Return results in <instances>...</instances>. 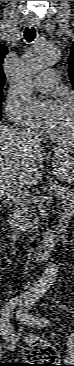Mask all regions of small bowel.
Segmentation results:
<instances>
[{"label": "small bowel", "mask_w": 74, "mask_h": 366, "mask_svg": "<svg viewBox=\"0 0 74 366\" xmlns=\"http://www.w3.org/2000/svg\"><path fill=\"white\" fill-rule=\"evenodd\" d=\"M56 273H57L56 269L53 267L47 269L45 274L41 277L40 283H44V284L51 283L54 280V278L56 277ZM49 346H51V345L49 344ZM53 351H54V349H53Z\"/></svg>", "instance_id": "1"}]
</instances>
